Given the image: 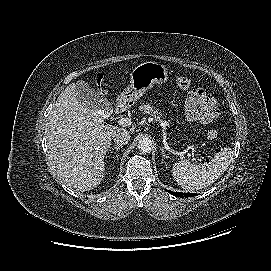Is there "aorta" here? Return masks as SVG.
<instances>
[{"label":"aorta","mask_w":271,"mask_h":271,"mask_svg":"<svg viewBox=\"0 0 271 271\" xmlns=\"http://www.w3.org/2000/svg\"><path fill=\"white\" fill-rule=\"evenodd\" d=\"M137 147L142 153H150L153 148V142L150 138L143 137L138 141Z\"/></svg>","instance_id":"obj_1"}]
</instances>
